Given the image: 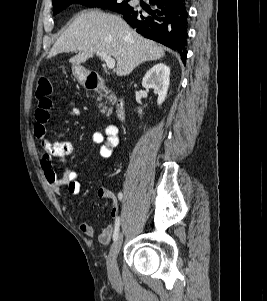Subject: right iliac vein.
I'll list each match as a JSON object with an SVG mask.
<instances>
[{
    "label": "right iliac vein",
    "mask_w": 267,
    "mask_h": 301,
    "mask_svg": "<svg viewBox=\"0 0 267 301\" xmlns=\"http://www.w3.org/2000/svg\"><path fill=\"white\" fill-rule=\"evenodd\" d=\"M123 242V235L120 234L117 240L113 243L109 255L107 257V272L108 276L113 281H119L120 274L117 265V256L121 249V245Z\"/></svg>",
    "instance_id": "63e3f726"
}]
</instances>
